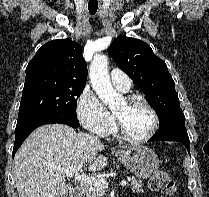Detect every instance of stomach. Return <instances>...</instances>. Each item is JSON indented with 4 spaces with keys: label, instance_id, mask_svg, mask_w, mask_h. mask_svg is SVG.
I'll list each match as a JSON object with an SVG mask.
<instances>
[{
    "label": "stomach",
    "instance_id": "obj_1",
    "mask_svg": "<svg viewBox=\"0 0 209 197\" xmlns=\"http://www.w3.org/2000/svg\"><path fill=\"white\" fill-rule=\"evenodd\" d=\"M116 156L139 178H150L160 167L157 154L145 146H132L126 151L116 153Z\"/></svg>",
    "mask_w": 209,
    "mask_h": 197
}]
</instances>
